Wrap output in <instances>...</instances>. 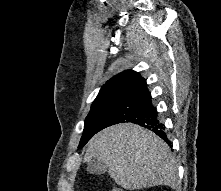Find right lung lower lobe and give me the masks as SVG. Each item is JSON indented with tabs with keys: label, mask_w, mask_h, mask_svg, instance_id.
<instances>
[{
	"label": "right lung lower lobe",
	"mask_w": 221,
	"mask_h": 191,
	"mask_svg": "<svg viewBox=\"0 0 221 191\" xmlns=\"http://www.w3.org/2000/svg\"><path fill=\"white\" fill-rule=\"evenodd\" d=\"M131 122L154 131L164 139L168 145L165 127L159 123L156 107L152 105L151 94L147 90L146 82L135 87L114 104L103 120L100 130L117 124Z\"/></svg>",
	"instance_id": "1"
}]
</instances>
